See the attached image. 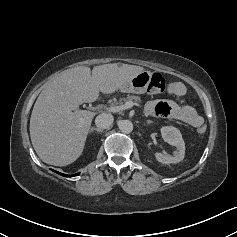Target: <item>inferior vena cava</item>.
Returning <instances> with one entry per match:
<instances>
[{
	"instance_id": "1",
	"label": "inferior vena cava",
	"mask_w": 237,
	"mask_h": 237,
	"mask_svg": "<svg viewBox=\"0 0 237 237\" xmlns=\"http://www.w3.org/2000/svg\"><path fill=\"white\" fill-rule=\"evenodd\" d=\"M113 120L114 118L111 114L102 113L96 117L95 124L100 129H106L112 125Z\"/></svg>"
}]
</instances>
